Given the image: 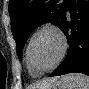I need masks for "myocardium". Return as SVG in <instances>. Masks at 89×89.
<instances>
[{"instance_id": "obj_1", "label": "myocardium", "mask_w": 89, "mask_h": 89, "mask_svg": "<svg viewBox=\"0 0 89 89\" xmlns=\"http://www.w3.org/2000/svg\"><path fill=\"white\" fill-rule=\"evenodd\" d=\"M45 30L52 31L60 39V43H61L60 54H59L57 60L50 67L43 69V70H34L32 67L31 61H30V49H31L32 43H33L34 39L36 38V36ZM67 49H68V41H67V38H66L64 32L59 27L55 26L54 24H50V23L43 24L32 34V36L29 39V42H28V45L26 48L27 67L35 75H43L45 73H48V72L52 71L53 69H55L63 61V59L67 53Z\"/></svg>"}]
</instances>
